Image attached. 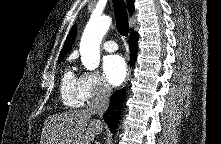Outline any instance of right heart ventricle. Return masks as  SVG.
Masks as SVG:
<instances>
[{
	"label": "right heart ventricle",
	"instance_id": "right-heart-ventricle-1",
	"mask_svg": "<svg viewBox=\"0 0 221 144\" xmlns=\"http://www.w3.org/2000/svg\"><path fill=\"white\" fill-rule=\"evenodd\" d=\"M60 97L63 104L70 108H79L84 104L81 94L80 77L72 67H67L62 75L60 83Z\"/></svg>",
	"mask_w": 221,
	"mask_h": 144
}]
</instances>
